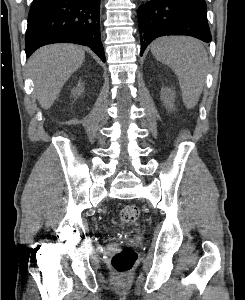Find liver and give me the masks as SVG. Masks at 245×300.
Listing matches in <instances>:
<instances>
[{
	"label": "liver",
	"instance_id": "liver-1",
	"mask_svg": "<svg viewBox=\"0 0 245 300\" xmlns=\"http://www.w3.org/2000/svg\"><path fill=\"white\" fill-rule=\"evenodd\" d=\"M82 48L72 44H54L38 49L28 60L27 69L34 81L36 98L43 109H49L62 87L81 66Z\"/></svg>",
	"mask_w": 245,
	"mask_h": 300
}]
</instances>
